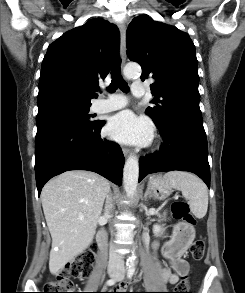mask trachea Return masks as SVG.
Here are the masks:
<instances>
[{"instance_id":"1","label":"trachea","mask_w":245,"mask_h":293,"mask_svg":"<svg viewBox=\"0 0 245 293\" xmlns=\"http://www.w3.org/2000/svg\"><path fill=\"white\" fill-rule=\"evenodd\" d=\"M120 65H121V60L117 58L111 70L112 81L107 88V90L110 93L115 92L116 89L118 88L123 92L129 91L128 84L126 83V81L123 79L121 75Z\"/></svg>"}]
</instances>
